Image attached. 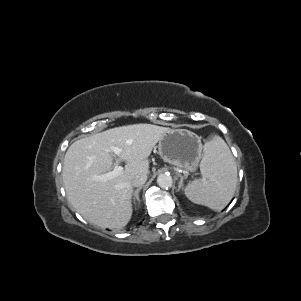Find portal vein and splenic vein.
I'll list each match as a JSON object with an SVG mask.
<instances>
[{"mask_svg": "<svg viewBox=\"0 0 301 301\" xmlns=\"http://www.w3.org/2000/svg\"><path fill=\"white\" fill-rule=\"evenodd\" d=\"M110 150L116 155L119 156L122 152V150L118 147H111ZM123 172V167H121L118 163L115 164L114 169L108 173H104L100 176H98V179L102 181H107L110 179H113L114 177L119 176Z\"/></svg>", "mask_w": 301, "mask_h": 301, "instance_id": "obj_1", "label": "portal vein and splenic vein"}]
</instances>
